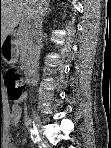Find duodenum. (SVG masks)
Returning <instances> with one entry per match:
<instances>
[{
  "mask_svg": "<svg viewBox=\"0 0 111 148\" xmlns=\"http://www.w3.org/2000/svg\"><path fill=\"white\" fill-rule=\"evenodd\" d=\"M26 82L29 85L35 84L37 82V74L34 71H31L27 76Z\"/></svg>",
  "mask_w": 111,
  "mask_h": 148,
  "instance_id": "410a0bca",
  "label": "duodenum"
}]
</instances>
